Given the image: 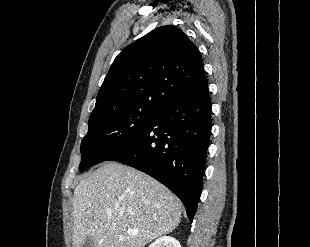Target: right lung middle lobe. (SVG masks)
I'll return each instance as SVG.
<instances>
[{"mask_svg":"<svg viewBox=\"0 0 310 247\" xmlns=\"http://www.w3.org/2000/svg\"><path fill=\"white\" fill-rule=\"evenodd\" d=\"M152 108H127L89 119V130L81 142L79 170L106 161L124 149L156 112Z\"/></svg>","mask_w":310,"mask_h":247,"instance_id":"obj_1","label":"right lung middle lobe"}]
</instances>
